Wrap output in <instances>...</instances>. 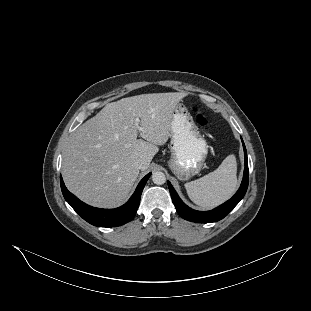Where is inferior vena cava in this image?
<instances>
[{"label":"inferior vena cava","mask_w":311,"mask_h":311,"mask_svg":"<svg viewBox=\"0 0 311 311\" xmlns=\"http://www.w3.org/2000/svg\"><path fill=\"white\" fill-rule=\"evenodd\" d=\"M133 165L140 169L143 166V161L141 159H136L133 161Z\"/></svg>","instance_id":"obj_1"}]
</instances>
